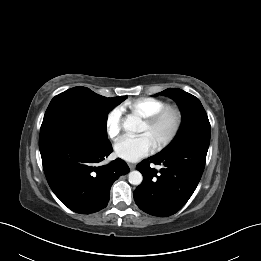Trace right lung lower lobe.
Instances as JSON below:
<instances>
[{"instance_id": "right-lung-lower-lobe-1", "label": "right lung lower lobe", "mask_w": 261, "mask_h": 261, "mask_svg": "<svg viewBox=\"0 0 261 261\" xmlns=\"http://www.w3.org/2000/svg\"><path fill=\"white\" fill-rule=\"evenodd\" d=\"M39 149L46 179L54 194L74 212L90 214L107 206L115 180L129 172L117 158L100 166L111 143L88 132L54 127L40 132Z\"/></svg>"}]
</instances>
